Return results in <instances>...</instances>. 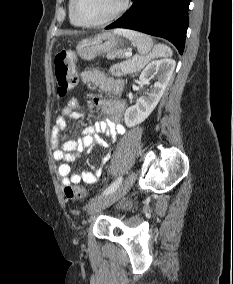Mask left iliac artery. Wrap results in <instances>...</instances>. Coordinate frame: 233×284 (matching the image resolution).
<instances>
[{"instance_id":"44dca946","label":"left iliac artery","mask_w":233,"mask_h":284,"mask_svg":"<svg viewBox=\"0 0 233 284\" xmlns=\"http://www.w3.org/2000/svg\"><path fill=\"white\" fill-rule=\"evenodd\" d=\"M122 183V177H118L104 192L103 194H109L115 191Z\"/></svg>"}]
</instances>
